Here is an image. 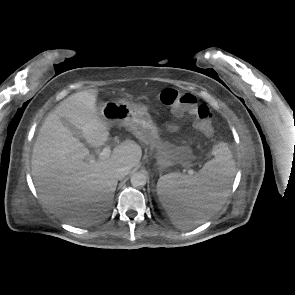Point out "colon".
<instances>
[{"mask_svg":"<svg viewBox=\"0 0 295 295\" xmlns=\"http://www.w3.org/2000/svg\"><path fill=\"white\" fill-rule=\"evenodd\" d=\"M160 100L170 107L176 116H193L195 126L201 133L212 134V112L206 105L198 104L194 95L167 88L161 92Z\"/></svg>","mask_w":295,"mask_h":295,"instance_id":"1","label":"colon"}]
</instances>
